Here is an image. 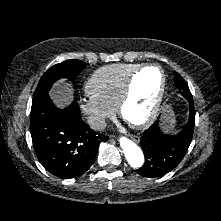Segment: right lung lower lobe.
<instances>
[{"instance_id": "right-lung-lower-lobe-1", "label": "right lung lower lobe", "mask_w": 221, "mask_h": 221, "mask_svg": "<svg viewBox=\"0 0 221 221\" xmlns=\"http://www.w3.org/2000/svg\"><path fill=\"white\" fill-rule=\"evenodd\" d=\"M30 132L40 163L62 179L83 175L93 164L100 142L108 139L84 123L77 102L59 109L49 96L32 106Z\"/></svg>"}]
</instances>
